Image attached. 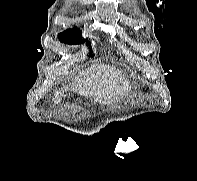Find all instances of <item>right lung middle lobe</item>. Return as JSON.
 I'll return each instance as SVG.
<instances>
[{"label":"right lung middle lobe","mask_w":197,"mask_h":181,"mask_svg":"<svg viewBox=\"0 0 197 181\" xmlns=\"http://www.w3.org/2000/svg\"><path fill=\"white\" fill-rule=\"evenodd\" d=\"M58 38L62 43L65 44H80L83 42L82 40V32L78 28H73V29H67L66 31L60 33L58 35ZM91 55V53L89 54Z\"/></svg>","instance_id":"right-lung-middle-lobe-1"}]
</instances>
